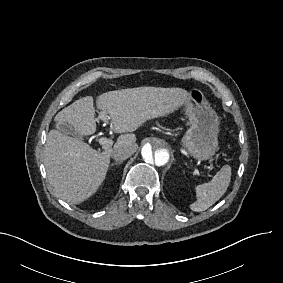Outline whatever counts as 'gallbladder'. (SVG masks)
I'll use <instances>...</instances> for the list:
<instances>
[{
	"label": "gallbladder",
	"mask_w": 283,
	"mask_h": 283,
	"mask_svg": "<svg viewBox=\"0 0 283 283\" xmlns=\"http://www.w3.org/2000/svg\"><path fill=\"white\" fill-rule=\"evenodd\" d=\"M57 128L65 133V134H69L72 135L76 138L82 139V136L80 134H78L69 124L67 123H62V124H57Z\"/></svg>",
	"instance_id": "gallbladder-1"
}]
</instances>
